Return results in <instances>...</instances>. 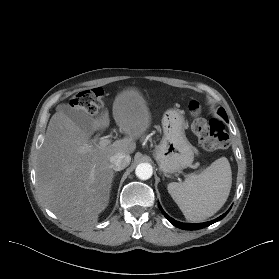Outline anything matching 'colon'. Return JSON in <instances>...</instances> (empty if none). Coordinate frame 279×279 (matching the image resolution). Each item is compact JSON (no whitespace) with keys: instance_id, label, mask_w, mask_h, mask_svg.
<instances>
[{"instance_id":"colon-1","label":"colon","mask_w":279,"mask_h":279,"mask_svg":"<svg viewBox=\"0 0 279 279\" xmlns=\"http://www.w3.org/2000/svg\"><path fill=\"white\" fill-rule=\"evenodd\" d=\"M103 96L104 92L101 88H93L78 93L71 104L85 113L94 114L102 107ZM189 111L193 118L192 132L206 149L216 150L228 146L229 139L222 122L217 119H206L197 101L189 103Z\"/></svg>"}]
</instances>
